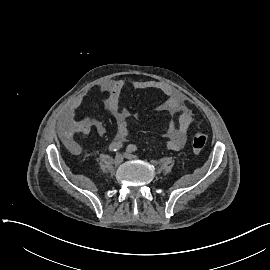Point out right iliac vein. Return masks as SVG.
<instances>
[{
	"label": "right iliac vein",
	"mask_w": 270,
	"mask_h": 270,
	"mask_svg": "<svg viewBox=\"0 0 270 270\" xmlns=\"http://www.w3.org/2000/svg\"><path fill=\"white\" fill-rule=\"evenodd\" d=\"M123 155L118 153L116 154L115 158H114V164L115 165H120L123 162Z\"/></svg>",
	"instance_id": "right-iliac-vein-1"
}]
</instances>
